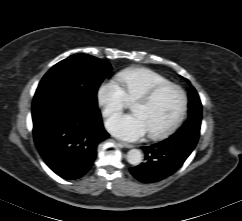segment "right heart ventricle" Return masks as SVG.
I'll return each mask as SVG.
<instances>
[{"label":"right heart ventricle","mask_w":242,"mask_h":221,"mask_svg":"<svg viewBox=\"0 0 242 221\" xmlns=\"http://www.w3.org/2000/svg\"><path fill=\"white\" fill-rule=\"evenodd\" d=\"M128 101L133 102L168 79L148 68H131L117 74Z\"/></svg>","instance_id":"1"}]
</instances>
